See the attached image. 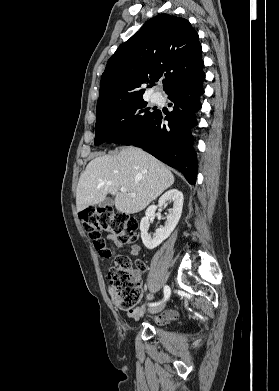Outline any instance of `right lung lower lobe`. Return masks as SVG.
<instances>
[{"instance_id":"obj_1","label":"right lung lower lobe","mask_w":279,"mask_h":391,"mask_svg":"<svg viewBox=\"0 0 279 391\" xmlns=\"http://www.w3.org/2000/svg\"><path fill=\"white\" fill-rule=\"evenodd\" d=\"M204 72L185 81L171 93L173 110L165 115L157 111L151 118L128 130L114 143L141 147L159 160L178 169L190 184L197 177L196 153L192 148L193 137L188 129L197 124L195 112L201 108L200 96Z\"/></svg>"}]
</instances>
